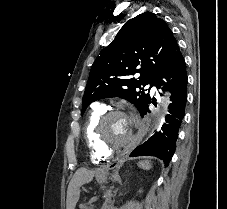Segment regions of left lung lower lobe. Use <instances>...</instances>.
I'll return each instance as SVG.
<instances>
[{
    "label": "left lung lower lobe",
    "instance_id": "left-lung-lower-lobe-1",
    "mask_svg": "<svg viewBox=\"0 0 227 209\" xmlns=\"http://www.w3.org/2000/svg\"><path fill=\"white\" fill-rule=\"evenodd\" d=\"M166 81L167 83H165ZM162 85H164L163 90L166 89L171 92L170 100L172 101L169 105V114L165 118V123L144 144L135 148L130 156H157L168 165L175 151L177 135L185 114L187 101L186 65L181 52H179L173 64L159 80L157 88H161ZM150 103L151 100L141 111V117L150 112L148 109Z\"/></svg>",
    "mask_w": 227,
    "mask_h": 209
}]
</instances>
